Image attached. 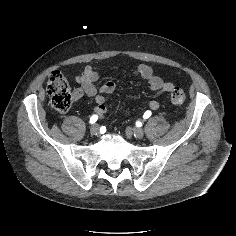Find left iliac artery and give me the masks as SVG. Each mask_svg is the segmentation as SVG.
Here are the masks:
<instances>
[{"label":"left iliac artery","instance_id":"44dca946","mask_svg":"<svg viewBox=\"0 0 236 236\" xmlns=\"http://www.w3.org/2000/svg\"><path fill=\"white\" fill-rule=\"evenodd\" d=\"M151 111H146L145 113H144V115H143V118L144 119H147V118H149L150 116H151Z\"/></svg>","mask_w":236,"mask_h":236}]
</instances>
